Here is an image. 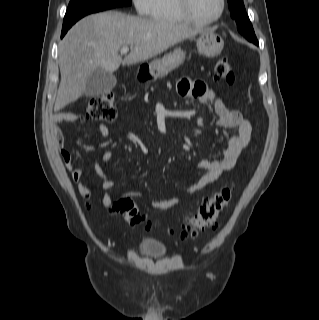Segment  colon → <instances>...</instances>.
Masks as SVG:
<instances>
[{"label":"colon","instance_id":"1","mask_svg":"<svg viewBox=\"0 0 319 320\" xmlns=\"http://www.w3.org/2000/svg\"><path fill=\"white\" fill-rule=\"evenodd\" d=\"M214 77L216 80L227 83L234 81L233 71L226 58L222 57L217 61L214 68ZM116 116L117 109L114 104V96L111 92H104L93 96L83 115L86 119L105 122L113 121ZM231 195V188L224 187L208 196L197 211L186 218L180 232V237H193L206 229L213 228L226 212ZM113 209L123 215L131 225L146 223L145 217L131 198L124 197L118 199L113 203Z\"/></svg>","mask_w":319,"mask_h":320}]
</instances>
